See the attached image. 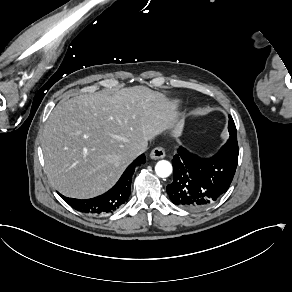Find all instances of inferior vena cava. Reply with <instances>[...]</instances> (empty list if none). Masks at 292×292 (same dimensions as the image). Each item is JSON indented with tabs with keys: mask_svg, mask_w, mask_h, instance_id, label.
<instances>
[{
	"mask_svg": "<svg viewBox=\"0 0 292 292\" xmlns=\"http://www.w3.org/2000/svg\"><path fill=\"white\" fill-rule=\"evenodd\" d=\"M146 150H147V144L135 148L134 152H135L136 156H139L140 154L144 153Z\"/></svg>",
	"mask_w": 292,
	"mask_h": 292,
	"instance_id": "1",
	"label": "inferior vena cava"
}]
</instances>
